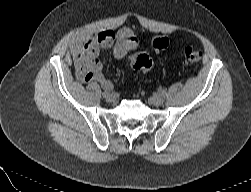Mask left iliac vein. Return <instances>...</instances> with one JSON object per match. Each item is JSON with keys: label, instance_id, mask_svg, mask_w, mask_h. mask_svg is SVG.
Returning <instances> with one entry per match:
<instances>
[{"label": "left iliac vein", "instance_id": "left-iliac-vein-1", "mask_svg": "<svg viewBox=\"0 0 251 192\" xmlns=\"http://www.w3.org/2000/svg\"><path fill=\"white\" fill-rule=\"evenodd\" d=\"M150 103L154 106H161L164 103V100L160 96H153L149 99Z\"/></svg>", "mask_w": 251, "mask_h": 192}]
</instances>
